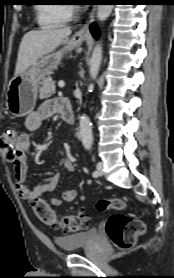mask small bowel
Returning a JSON list of instances; mask_svg holds the SVG:
<instances>
[{
    "mask_svg": "<svg viewBox=\"0 0 174 278\" xmlns=\"http://www.w3.org/2000/svg\"><path fill=\"white\" fill-rule=\"evenodd\" d=\"M56 105V100L46 101L36 111L28 115L24 122L27 133H22L16 136L13 140V148L15 152V158L13 159L15 187L21 199L33 201L44 195L53 193L58 185L60 174L56 173L38 182L32 188L27 186V158L31 148V138L29 133L38 131L44 121L53 113L57 112ZM63 167L68 172L74 171V164L69 159L64 160ZM77 195V189H66L63 191L61 198L52 197L49 200V204L57 207L63 202L73 201Z\"/></svg>",
    "mask_w": 174,
    "mask_h": 278,
    "instance_id": "c3829d8e",
    "label": "small bowel"
}]
</instances>
